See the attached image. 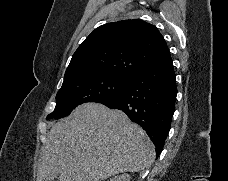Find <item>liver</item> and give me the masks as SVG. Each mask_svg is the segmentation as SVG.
Segmentation results:
<instances>
[{
  "instance_id": "liver-1",
  "label": "liver",
  "mask_w": 228,
  "mask_h": 181,
  "mask_svg": "<svg viewBox=\"0 0 228 181\" xmlns=\"http://www.w3.org/2000/svg\"><path fill=\"white\" fill-rule=\"evenodd\" d=\"M41 149L37 181H104L150 167L155 151L142 127L122 111L83 103L61 123H53Z\"/></svg>"
}]
</instances>
